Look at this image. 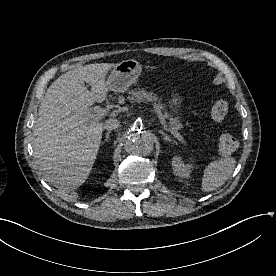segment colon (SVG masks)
<instances>
[{
	"label": "colon",
	"mask_w": 276,
	"mask_h": 276,
	"mask_svg": "<svg viewBox=\"0 0 276 276\" xmlns=\"http://www.w3.org/2000/svg\"><path fill=\"white\" fill-rule=\"evenodd\" d=\"M229 113V104L224 99H216L210 107L211 118L215 121H222ZM238 148L237 139L229 134L223 133L218 139V150L222 155L233 154Z\"/></svg>",
	"instance_id": "5ec220e1"
}]
</instances>
